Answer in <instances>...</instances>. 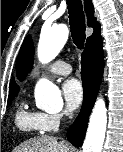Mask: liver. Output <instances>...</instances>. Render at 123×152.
I'll return each instance as SVG.
<instances>
[{"label":"liver","mask_w":123,"mask_h":152,"mask_svg":"<svg viewBox=\"0 0 123 152\" xmlns=\"http://www.w3.org/2000/svg\"><path fill=\"white\" fill-rule=\"evenodd\" d=\"M14 152H69V148L56 137L40 136L22 143Z\"/></svg>","instance_id":"liver-1"}]
</instances>
